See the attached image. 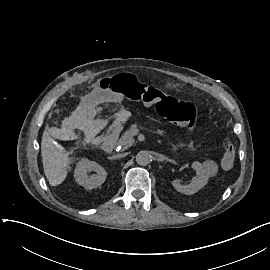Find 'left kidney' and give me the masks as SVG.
I'll list each match as a JSON object with an SVG mask.
<instances>
[{"label": "left kidney", "instance_id": "5707ae66", "mask_svg": "<svg viewBox=\"0 0 270 270\" xmlns=\"http://www.w3.org/2000/svg\"><path fill=\"white\" fill-rule=\"evenodd\" d=\"M192 169L196 170L197 175L192 178V182L188 185H181L178 179L171 181L174 189L185 195H192L197 193L208 182V175L204 173L201 163L193 162L191 164Z\"/></svg>", "mask_w": 270, "mask_h": 270}]
</instances>
